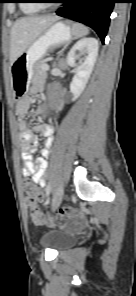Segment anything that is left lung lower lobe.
Segmentation results:
<instances>
[{
	"mask_svg": "<svg viewBox=\"0 0 136 296\" xmlns=\"http://www.w3.org/2000/svg\"><path fill=\"white\" fill-rule=\"evenodd\" d=\"M115 2L116 0H63L61 3L64 5L56 14L90 26L104 43Z\"/></svg>",
	"mask_w": 136,
	"mask_h": 296,
	"instance_id": "left-lung-lower-lobe-1",
	"label": "left lung lower lobe"
}]
</instances>
